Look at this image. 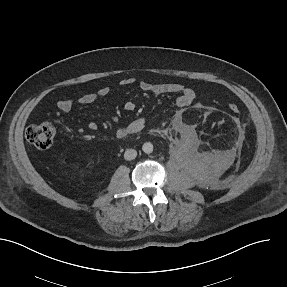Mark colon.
I'll return each mask as SVG.
<instances>
[{
	"mask_svg": "<svg viewBox=\"0 0 287 287\" xmlns=\"http://www.w3.org/2000/svg\"><path fill=\"white\" fill-rule=\"evenodd\" d=\"M229 110L233 113L240 111V106L236 103L229 104ZM54 127L49 122H40L30 125L26 130V139L39 150L48 149L54 139Z\"/></svg>",
	"mask_w": 287,
	"mask_h": 287,
	"instance_id": "obj_1",
	"label": "colon"
}]
</instances>
